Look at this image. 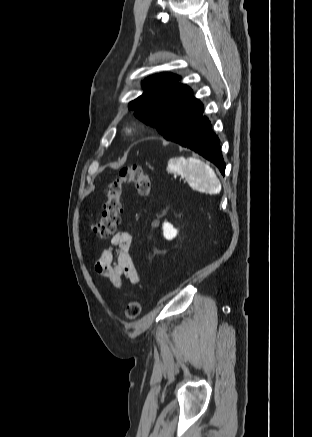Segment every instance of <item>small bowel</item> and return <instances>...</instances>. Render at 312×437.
<instances>
[{
  "instance_id": "c3829d8e",
  "label": "small bowel",
  "mask_w": 312,
  "mask_h": 437,
  "mask_svg": "<svg viewBox=\"0 0 312 437\" xmlns=\"http://www.w3.org/2000/svg\"><path fill=\"white\" fill-rule=\"evenodd\" d=\"M129 231H119L111 239V246L105 249L95 262V271L109 278L116 287H121L123 279L133 284L139 282V276L133 262Z\"/></svg>"
}]
</instances>
